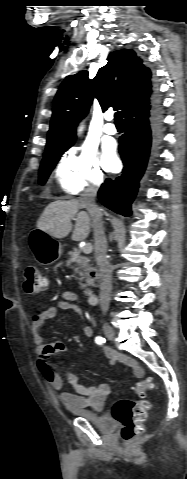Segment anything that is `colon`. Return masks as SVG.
<instances>
[{"instance_id": "1", "label": "colon", "mask_w": 187, "mask_h": 479, "mask_svg": "<svg viewBox=\"0 0 187 479\" xmlns=\"http://www.w3.org/2000/svg\"><path fill=\"white\" fill-rule=\"evenodd\" d=\"M24 279V289L28 294L39 293L46 287V277L37 267H26ZM154 386L153 380L146 378L138 383L136 390L143 395L152 390ZM149 408V402L143 400L122 398L115 402L112 408V416L120 423L121 435L125 441L132 442L140 436Z\"/></svg>"}]
</instances>
